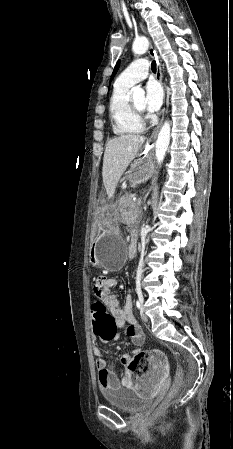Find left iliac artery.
I'll use <instances>...</instances> for the list:
<instances>
[{
    "label": "left iliac artery",
    "instance_id": "obj_1",
    "mask_svg": "<svg viewBox=\"0 0 233 449\" xmlns=\"http://www.w3.org/2000/svg\"><path fill=\"white\" fill-rule=\"evenodd\" d=\"M138 300L136 302V306L140 309L143 303V295L141 291H138Z\"/></svg>",
    "mask_w": 233,
    "mask_h": 449
}]
</instances>
